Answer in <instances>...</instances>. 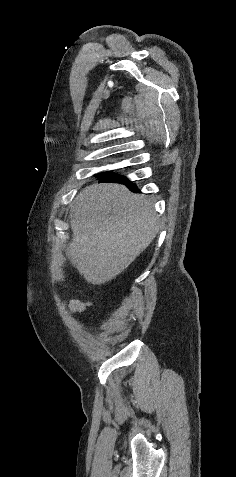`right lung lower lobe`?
Segmentation results:
<instances>
[{
    "label": "right lung lower lobe",
    "instance_id": "right-lung-lower-lobe-1",
    "mask_svg": "<svg viewBox=\"0 0 236 477\" xmlns=\"http://www.w3.org/2000/svg\"><path fill=\"white\" fill-rule=\"evenodd\" d=\"M100 182H122L124 184H126L130 190L132 191H139L137 186L135 185V183L131 182L128 178H126L125 176H121V175H110V176H107L105 178H101L99 179Z\"/></svg>",
    "mask_w": 236,
    "mask_h": 477
}]
</instances>
